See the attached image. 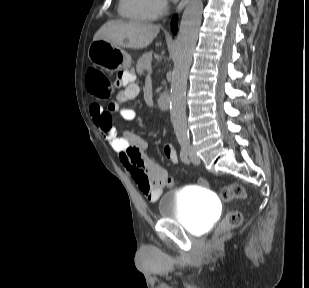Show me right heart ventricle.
Returning a JSON list of instances; mask_svg holds the SVG:
<instances>
[{"label": "right heart ventricle", "instance_id": "e07e8e85", "mask_svg": "<svg viewBox=\"0 0 309 288\" xmlns=\"http://www.w3.org/2000/svg\"><path fill=\"white\" fill-rule=\"evenodd\" d=\"M119 13L122 17L136 22H148L156 18L150 0H119Z\"/></svg>", "mask_w": 309, "mask_h": 288}]
</instances>
